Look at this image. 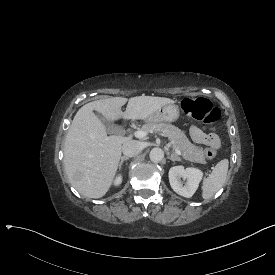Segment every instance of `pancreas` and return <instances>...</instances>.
Listing matches in <instances>:
<instances>
[{
    "label": "pancreas",
    "mask_w": 275,
    "mask_h": 275,
    "mask_svg": "<svg viewBox=\"0 0 275 275\" xmlns=\"http://www.w3.org/2000/svg\"><path fill=\"white\" fill-rule=\"evenodd\" d=\"M138 130H151L165 134L172 142L173 147L181 152L183 158L200 164L206 163L203 156V149L192 144L185 133L172 124L165 122H146L141 125Z\"/></svg>",
    "instance_id": "obj_1"
}]
</instances>
